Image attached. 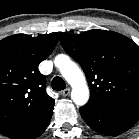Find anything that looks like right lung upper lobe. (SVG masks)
<instances>
[{
    "label": "right lung upper lobe",
    "instance_id": "obj_1",
    "mask_svg": "<svg viewBox=\"0 0 139 139\" xmlns=\"http://www.w3.org/2000/svg\"><path fill=\"white\" fill-rule=\"evenodd\" d=\"M58 42L55 33L16 34L0 41V133L8 134L54 106L38 65Z\"/></svg>",
    "mask_w": 139,
    "mask_h": 139
}]
</instances>
